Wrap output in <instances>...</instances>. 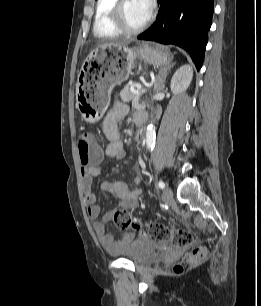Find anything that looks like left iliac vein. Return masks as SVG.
Listing matches in <instances>:
<instances>
[{"label": "left iliac vein", "mask_w": 261, "mask_h": 306, "mask_svg": "<svg viewBox=\"0 0 261 306\" xmlns=\"http://www.w3.org/2000/svg\"><path fill=\"white\" fill-rule=\"evenodd\" d=\"M162 198L165 202H169L173 198V191L168 185L163 190Z\"/></svg>", "instance_id": "4c4485c4"}]
</instances>
